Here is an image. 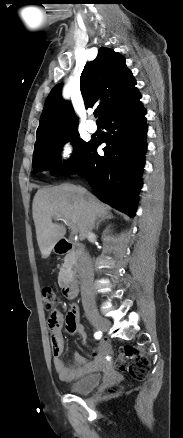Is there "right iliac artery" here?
<instances>
[{
    "label": "right iliac artery",
    "instance_id": "82829eb1",
    "mask_svg": "<svg viewBox=\"0 0 183 438\" xmlns=\"http://www.w3.org/2000/svg\"><path fill=\"white\" fill-rule=\"evenodd\" d=\"M94 337H95L96 339H100V338L102 337V332H101V331H97V332L94 334Z\"/></svg>",
    "mask_w": 183,
    "mask_h": 438
}]
</instances>
